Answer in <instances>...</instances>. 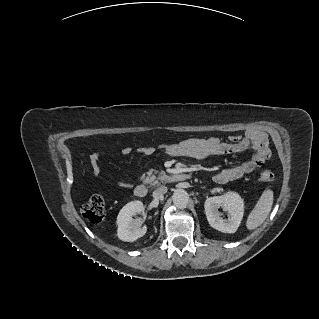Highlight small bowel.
Here are the masks:
<instances>
[{
  "mask_svg": "<svg viewBox=\"0 0 319 319\" xmlns=\"http://www.w3.org/2000/svg\"><path fill=\"white\" fill-rule=\"evenodd\" d=\"M266 135L261 131H249L242 136H230L228 141L219 138H191L176 143L161 145V148L172 157H187L194 159H205L213 156L227 155L233 153L244 152L252 148L255 153L247 160L240 164L230 166L216 172L213 180L223 184L229 181L237 180L245 174L251 173L257 167L262 166L266 157L263 149L266 147ZM156 151L155 146L144 145L139 148L142 156L149 157ZM124 156H129L132 149L125 146L121 149ZM90 163L94 177L100 178L102 170L99 164V154L93 153L90 156ZM117 185L121 188H129L131 184L128 181L118 180Z\"/></svg>",
  "mask_w": 319,
  "mask_h": 319,
  "instance_id": "obj_1",
  "label": "small bowel"
}]
</instances>
